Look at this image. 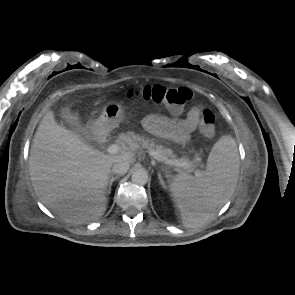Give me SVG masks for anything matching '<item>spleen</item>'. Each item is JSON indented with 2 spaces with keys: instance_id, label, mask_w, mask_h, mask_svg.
I'll list each match as a JSON object with an SVG mask.
<instances>
[{
  "instance_id": "3e777b00",
  "label": "spleen",
  "mask_w": 295,
  "mask_h": 295,
  "mask_svg": "<svg viewBox=\"0 0 295 295\" xmlns=\"http://www.w3.org/2000/svg\"><path fill=\"white\" fill-rule=\"evenodd\" d=\"M239 173V154L235 140L221 137L213 146L205 171L196 176L182 174L170 184L172 198L181 211L186 227L206 223L233 194Z\"/></svg>"
}]
</instances>
